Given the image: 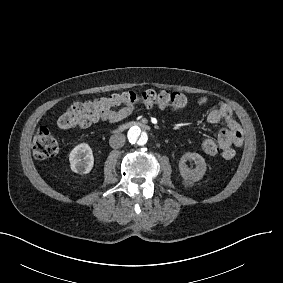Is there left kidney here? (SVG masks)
I'll list each match as a JSON object with an SVG mask.
<instances>
[{
    "mask_svg": "<svg viewBox=\"0 0 283 283\" xmlns=\"http://www.w3.org/2000/svg\"><path fill=\"white\" fill-rule=\"evenodd\" d=\"M193 160L196 164L194 169L187 166L186 162ZM180 174L186 181L196 182L203 178L206 172L205 159L198 153H185L179 161Z\"/></svg>",
    "mask_w": 283,
    "mask_h": 283,
    "instance_id": "left-kidney-1",
    "label": "left kidney"
}]
</instances>
